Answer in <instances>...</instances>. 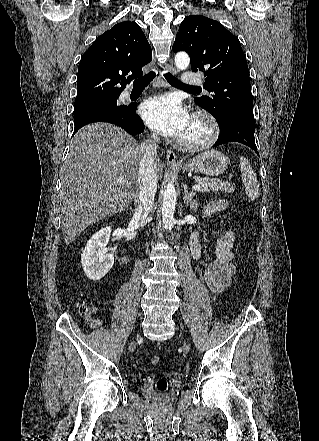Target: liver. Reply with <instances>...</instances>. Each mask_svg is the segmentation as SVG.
<instances>
[{
    "instance_id": "obj_1",
    "label": "liver",
    "mask_w": 319,
    "mask_h": 441,
    "mask_svg": "<svg viewBox=\"0 0 319 441\" xmlns=\"http://www.w3.org/2000/svg\"><path fill=\"white\" fill-rule=\"evenodd\" d=\"M140 159L137 141L113 124L92 123L73 136L61 167V227L66 245L88 226L131 204L139 190ZM155 170L161 179L160 160Z\"/></svg>"
}]
</instances>
